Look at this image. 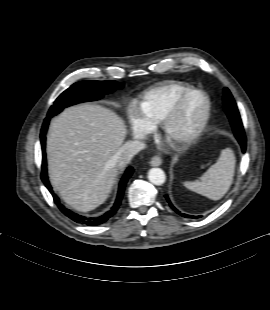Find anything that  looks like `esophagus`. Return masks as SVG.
I'll use <instances>...</instances> for the list:
<instances>
[{
	"label": "esophagus",
	"mask_w": 270,
	"mask_h": 310,
	"mask_svg": "<svg viewBox=\"0 0 270 310\" xmlns=\"http://www.w3.org/2000/svg\"><path fill=\"white\" fill-rule=\"evenodd\" d=\"M162 164V159L159 156H154L150 160V165L151 166H160Z\"/></svg>",
	"instance_id": "obj_1"
}]
</instances>
